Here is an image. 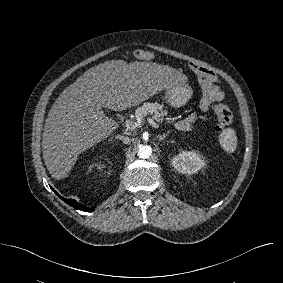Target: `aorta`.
<instances>
[{"label":"aorta","instance_id":"762f6f07","mask_svg":"<svg viewBox=\"0 0 283 283\" xmlns=\"http://www.w3.org/2000/svg\"><path fill=\"white\" fill-rule=\"evenodd\" d=\"M152 154V148L149 145H142L138 149V156L142 159L150 158Z\"/></svg>","mask_w":283,"mask_h":283}]
</instances>
